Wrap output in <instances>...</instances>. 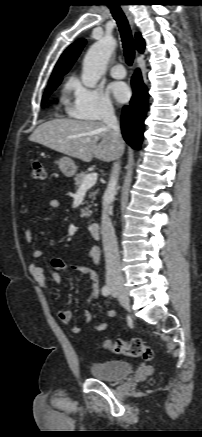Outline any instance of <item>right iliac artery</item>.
Here are the masks:
<instances>
[{"instance_id":"right-iliac-artery-1","label":"right iliac artery","mask_w":202,"mask_h":437,"mask_svg":"<svg viewBox=\"0 0 202 437\" xmlns=\"http://www.w3.org/2000/svg\"><path fill=\"white\" fill-rule=\"evenodd\" d=\"M102 294H103L104 296H108V295L110 294V288H109V286L105 285V286L102 287Z\"/></svg>"}]
</instances>
